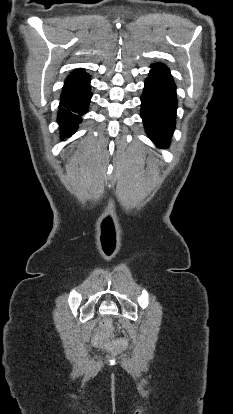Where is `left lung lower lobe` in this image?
<instances>
[{"mask_svg": "<svg viewBox=\"0 0 233 414\" xmlns=\"http://www.w3.org/2000/svg\"><path fill=\"white\" fill-rule=\"evenodd\" d=\"M141 96V113L149 138L160 148H167L175 129L176 85L169 69L162 63L151 65Z\"/></svg>", "mask_w": 233, "mask_h": 414, "instance_id": "1", "label": "left lung lower lobe"}]
</instances>
